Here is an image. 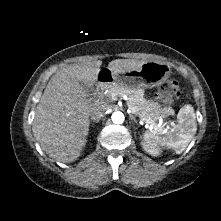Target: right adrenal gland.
<instances>
[{"instance_id":"right-adrenal-gland-1","label":"right adrenal gland","mask_w":221,"mask_h":221,"mask_svg":"<svg viewBox=\"0 0 221 221\" xmlns=\"http://www.w3.org/2000/svg\"><path fill=\"white\" fill-rule=\"evenodd\" d=\"M93 122H96V123H98L99 121H98V120H93Z\"/></svg>"}]
</instances>
